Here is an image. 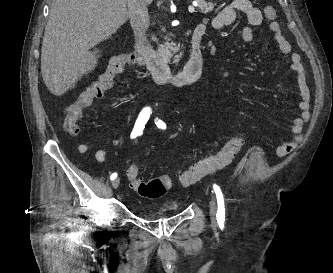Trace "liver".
<instances>
[{
	"label": "liver",
	"instance_id": "obj_1",
	"mask_svg": "<svg viewBox=\"0 0 333 273\" xmlns=\"http://www.w3.org/2000/svg\"><path fill=\"white\" fill-rule=\"evenodd\" d=\"M127 2L53 0L41 49V74L52 94L61 96L95 69L98 50H90L126 23Z\"/></svg>",
	"mask_w": 333,
	"mask_h": 273
}]
</instances>
